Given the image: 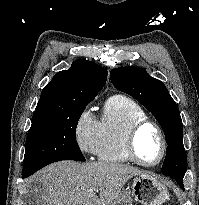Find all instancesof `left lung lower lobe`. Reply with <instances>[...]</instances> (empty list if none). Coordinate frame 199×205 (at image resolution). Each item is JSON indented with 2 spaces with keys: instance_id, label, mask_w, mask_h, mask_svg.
<instances>
[{
  "instance_id": "obj_1",
  "label": "left lung lower lobe",
  "mask_w": 199,
  "mask_h": 205,
  "mask_svg": "<svg viewBox=\"0 0 199 205\" xmlns=\"http://www.w3.org/2000/svg\"><path fill=\"white\" fill-rule=\"evenodd\" d=\"M178 184L180 185V187L184 190V186H183V182H178Z\"/></svg>"
}]
</instances>
